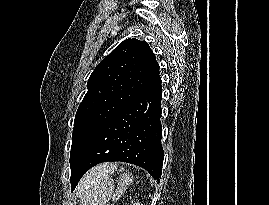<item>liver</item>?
<instances>
[{
	"mask_svg": "<svg viewBox=\"0 0 269 205\" xmlns=\"http://www.w3.org/2000/svg\"><path fill=\"white\" fill-rule=\"evenodd\" d=\"M116 165L114 164H100L95 168L91 169L82 179L79 187L78 192L82 196L84 192L89 190L93 185L97 182L105 178L108 173L114 171Z\"/></svg>",
	"mask_w": 269,
	"mask_h": 205,
	"instance_id": "1",
	"label": "liver"
}]
</instances>
